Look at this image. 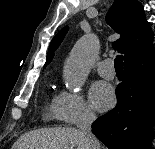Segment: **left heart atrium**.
<instances>
[{
  "mask_svg": "<svg viewBox=\"0 0 155 149\" xmlns=\"http://www.w3.org/2000/svg\"><path fill=\"white\" fill-rule=\"evenodd\" d=\"M89 98L95 109L105 111L111 107L115 96L109 84L99 81L92 86Z\"/></svg>",
  "mask_w": 155,
  "mask_h": 149,
  "instance_id": "obj_1",
  "label": "left heart atrium"
}]
</instances>
